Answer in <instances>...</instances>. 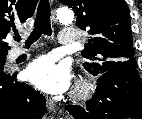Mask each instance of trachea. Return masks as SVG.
Masks as SVG:
<instances>
[{
	"mask_svg": "<svg viewBox=\"0 0 142 119\" xmlns=\"http://www.w3.org/2000/svg\"><path fill=\"white\" fill-rule=\"evenodd\" d=\"M50 4L48 0H41L37 9L34 29L31 32L28 40L25 41L27 47L33 42L37 41L42 34L50 36L52 33L50 24ZM14 40L20 41L21 37L19 34L14 36Z\"/></svg>",
	"mask_w": 142,
	"mask_h": 119,
	"instance_id": "3493384b",
	"label": "trachea"
}]
</instances>
